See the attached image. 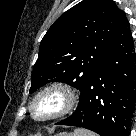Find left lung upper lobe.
<instances>
[{
  "label": "left lung upper lobe",
  "instance_id": "obj_1",
  "mask_svg": "<svg viewBox=\"0 0 136 136\" xmlns=\"http://www.w3.org/2000/svg\"><path fill=\"white\" fill-rule=\"evenodd\" d=\"M125 19L112 0H83L66 11L40 43L30 93L51 81L82 90Z\"/></svg>",
  "mask_w": 136,
  "mask_h": 136
}]
</instances>
